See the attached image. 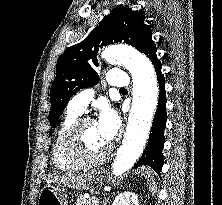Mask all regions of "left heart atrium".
<instances>
[{
    "instance_id": "obj_1",
    "label": "left heart atrium",
    "mask_w": 222,
    "mask_h": 205,
    "mask_svg": "<svg viewBox=\"0 0 222 205\" xmlns=\"http://www.w3.org/2000/svg\"><path fill=\"white\" fill-rule=\"evenodd\" d=\"M96 126L101 137L109 143L114 138L119 128L117 114L109 108L103 109L96 122Z\"/></svg>"
}]
</instances>
